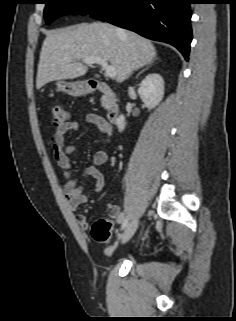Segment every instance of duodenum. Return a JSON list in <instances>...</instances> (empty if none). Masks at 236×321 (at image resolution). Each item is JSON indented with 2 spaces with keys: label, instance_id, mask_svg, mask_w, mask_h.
<instances>
[{
  "label": "duodenum",
  "instance_id": "obj_1",
  "mask_svg": "<svg viewBox=\"0 0 236 321\" xmlns=\"http://www.w3.org/2000/svg\"><path fill=\"white\" fill-rule=\"evenodd\" d=\"M89 88L104 95L108 119L110 121L116 120L120 114V107L117 102L115 91L106 82L99 80H90Z\"/></svg>",
  "mask_w": 236,
  "mask_h": 321
}]
</instances>
